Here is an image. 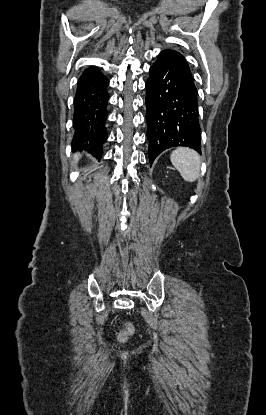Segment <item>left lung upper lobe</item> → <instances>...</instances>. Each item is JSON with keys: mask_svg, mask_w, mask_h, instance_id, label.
<instances>
[{"mask_svg": "<svg viewBox=\"0 0 266 415\" xmlns=\"http://www.w3.org/2000/svg\"><path fill=\"white\" fill-rule=\"evenodd\" d=\"M163 54H165L166 56H168L172 61H174L176 64H178L187 74V76L189 77L190 81L194 84L193 81V77H192V73L191 70L189 68V65L187 63V61L185 60L184 56L174 50H163L162 51Z\"/></svg>", "mask_w": 266, "mask_h": 415, "instance_id": "5c2ea615", "label": "left lung upper lobe"}]
</instances>
